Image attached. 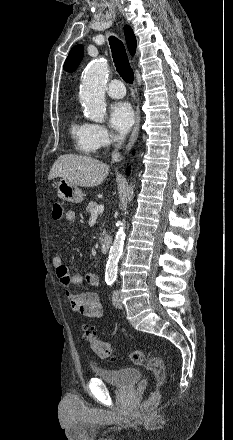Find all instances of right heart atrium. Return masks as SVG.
<instances>
[{
	"label": "right heart atrium",
	"instance_id": "d8ad5b80",
	"mask_svg": "<svg viewBox=\"0 0 233 440\" xmlns=\"http://www.w3.org/2000/svg\"><path fill=\"white\" fill-rule=\"evenodd\" d=\"M90 139L95 152L110 147L119 137L112 133L106 126L97 123H90Z\"/></svg>",
	"mask_w": 233,
	"mask_h": 440
}]
</instances>
